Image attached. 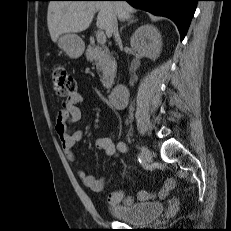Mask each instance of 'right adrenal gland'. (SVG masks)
<instances>
[{"label":"right adrenal gland","mask_w":231,"mask_h":231,"mask_svg":"<svg viewBox=\"0 0 231 231\" xmlns=\"http://www.w3.org/2000/svg\"><path fill=\"white\" fill-rule=\"evenodd\" d=\"M137 21V19H131V20H129V21H127V24L126 25H124V26H122L121 28H120V33L122 32V30H123V28L124 27H126V26H129L130 24H132V23H134V22H136Z\"/></svg>","instance_id":"2a0ac1e0"}]
</instances>
